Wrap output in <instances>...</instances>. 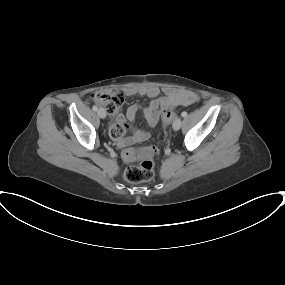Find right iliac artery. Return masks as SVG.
Segmentation results:
<instances>
[{"label":"right iliac artery","instance_id":"obj_1","mask_svg":"<svg viewBox=\"0 0 285 285\" xmlns=\"http://www.w3.org/2000/svg\"><path fill=\"white\" fill-rule=\"evenodd\" d=\"M92 109H93L94 111H97L98 108H97V106H93Z\"/></svg>","mask_w":285,"mask_h":285}]
</instances>
